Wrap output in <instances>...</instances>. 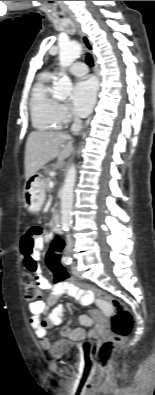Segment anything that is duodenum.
<instances>
[{"mask_svg":"<svg viewBox=\"0 0 155 395\" xmlns=\"http://www.w3.org/2000/svg\"><path fill=\"white\" fill-rule=\"evenodd\" d=\"M52 226H53L54 231L57 234H61L62 233L61 217H60V215H58V214L54 215L53 220H52Z\"/></svg>","mask_w":155,"mask_h":395,"instance_id":"1","label":"duodenum"}]
</instances>
